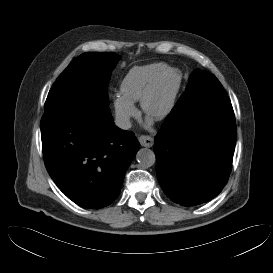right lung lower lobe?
<instances>
[{
	"label": "right lung lower lobe",
	"mask_w": 273,
	"mask_h": 273,
	"mask_svg": "<svg viewBox=\"0 0 273 273\" xmlns=\"http://www.w3.org/2000/svg\"><path fill=\"white\" fill-rule=\"evenodd\" d=\"M46 169L76 204L99 209L118 196L139 150L133 132L118 128L108 104L94 98L60 102L41 119Z\"/></svg>",
	"instance_id": "98d812e1"
}]
</instances>
